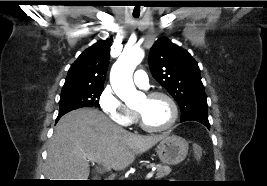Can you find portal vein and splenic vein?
<instances>
[{"label": "portal vein and splenic vein", "mask_w": 267, "mask_h": 186, "mask_svg": "<svg viewBox=\"0 0 267 186\" xmlns=\"http://www.w3.org/2000/svg\"><path fill=\"white\" fill-rule=\"evenodd\" d=\"M88 161H96L93 157H88ZM153 177V172H149L147 175H146V178L147 179H150Z\"/></svg>", "instance_id": "portal-vein-and-splenic-vein-1"}]
</instances>
